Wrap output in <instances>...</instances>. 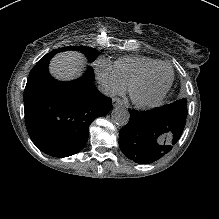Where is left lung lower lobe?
<instances>
[{
    "label": "left lung lower lobe",
    "mask_w": 219,
    "mask_h": 219,
    "mask_svg": "<svg viewBox=\"0 0 219 219\" xmlns=\"http://www.w3.org/2000/svg\"><path fill=\"white\" fill-rule=\"evenodd\" d=\"M129 123L120 130L119 145L131 160L146 164L161 158L180 138L186 118L172 111L154 108L130 110Z\"/></svg>",
    "instance_id": "0a47b994"
}]
</instances>
